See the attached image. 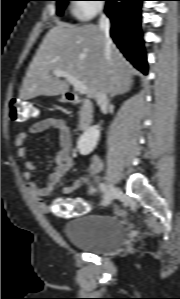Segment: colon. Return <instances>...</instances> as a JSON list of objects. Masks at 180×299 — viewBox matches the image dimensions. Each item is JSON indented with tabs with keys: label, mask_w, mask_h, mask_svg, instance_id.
Here are the masks:
<instances>
[{
	"label": "colon",
	"mask_w": 180,
	"mask_h": 299,
	"mask_svg": "<svg viewBox=\"0 0 180 299\" xmlns=\"http://www.w3.org/2000/svg\"><path fill=\"white\" fill-rule=\"evenodd\" d=\"M10 118L17 124H26L40 115L39 108L31 102L11 99L9 102ZM89 205L80 199L74 200H56L53 203V211L56 215L65 217H74L82 215L89 211Z\"/></svg>",
	"instance_id": "5ec220e1"
}]
</instances>
